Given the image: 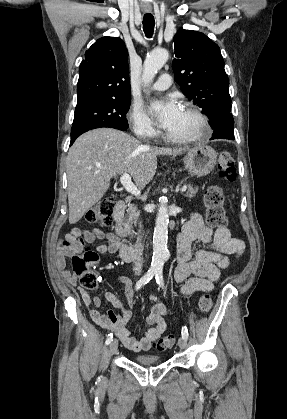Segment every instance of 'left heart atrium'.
<instances>
[{
  "label": "left heart atrium",
  "instance_id": "left-heart-atrium-1",
  "mask_svg": "<svg viewBox=\"0 0 287 419\" xmlns=\"http://www.w3.org/2000/svg\"><path fill=\"white\" fill-rule=\"evenodd\" d=\"M149 109L158 124L166 130L173 125L181 111L179 102L173 96L155 100Z\"/></svg>",
  "mask_w": 287,
  "mask_h": 419
}]
</instances>
